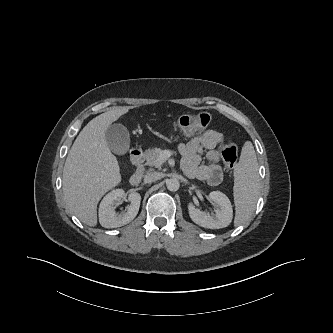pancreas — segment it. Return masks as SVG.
Listing matches in <instances>:
<instances>
[{
  "label": "pancreas",
  "instance_id": "cf45deb5",
  "mask_svg": "<svg viewBox=\"0 0 333 333\" xmlns=\"http://www.w3.org/2000/svg\"><path fill=\"white\" fill-rule=\"evenodd\" d=\"M163 151L160 148H152L148 149L145 152V159H146V164L149 166H154L156 168H160L163 161L160 160V155Z\"/></svg>",
  "mask_w": 333,
  "mask_h": 333
}]
</instances>
